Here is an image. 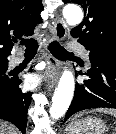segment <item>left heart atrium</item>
Returning <instances> with one entry per match:
<instances>
[{
    "instance_id": "obj_1",
    "label": "left heart atrium",
    "mask_w": 116,
    "mask_h": 134,
    "mask_svg": "<svg viewBox=\"0 0 116 134\" xmlns=\"http://www.w3.org/2000/svg\"><path fill=\"white\" fill-rule=\"evenodd\" d=\"M41 78L39 76H35V75H32V76H29L27 79H26V84L29 86V87H35L39 84Z\"/></svg>"
}]
</instances>
